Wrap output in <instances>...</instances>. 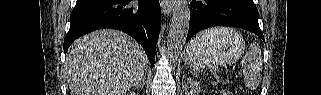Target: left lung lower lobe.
Segmentation results:
<instances>
[{
  "mask_svg": "<svg viewBox=\"0 0 321 95\" xmlns=\"http://www.w3.org/2000/svg\"><path fill=\"white\" fill-rule=\"evenodd\" d=\"M213 26L242 28L264 40L253 0H193L186 42L197 32Z\"/></svg>",
  "mask_w": 321,
  "mask_h": 95,
  "instance_id": "obj_1",
  "label": "left lung lower lobe"
}]
</instances>
